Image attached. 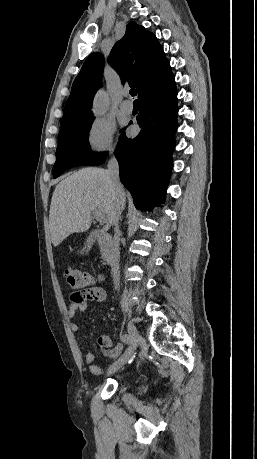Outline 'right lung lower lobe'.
<instances>
[{"instance_id": "1", "label": "right lung lower lobe", "mask_w": 257, "mask_h": 459, "mask_svg": "<svg viewBox=\"0 0 257 459\" xmlns=\"http://www.w3.org/2000/svg\"><path fill=\"white\" fill-rule=\"evenodd\" d=\"M139 101L137 123L142 129L134 139L123 132L115 153L121 182L130 191L135 207L151 211L163 203L172 169L178 115L174 75L149 88ZM107 155L91 166L102 164Z\"/></svg>"}]
</instances>
